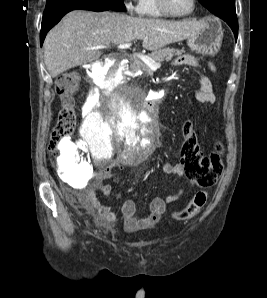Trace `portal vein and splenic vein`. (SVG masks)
I'll use <instances>...</instances> for the list:
<instances>
[{"label": "portal vein and splenic vein", "instance_id": "1", "mask_svg": "<svg viewBox=\"0 0 267 298\" xmlns=\"http://www.w3.org/2000/svg\"><path fill=\"white\" fill-rule=\"evenodd\" d=\"M131 46V43H123L118 45L117 47L119 49H126L129 48ZM110 46H106V45H98L95 47H91L88 48L90 50H101V49H105V48H109ZM150 69L155 70L157 68H159L161 66V64L159 62L154 61L151 57L146 56V55H142V54H138L137 55Z\"/></svg>", "mask_w": 267, "mask_h": 298}]
</instances>
